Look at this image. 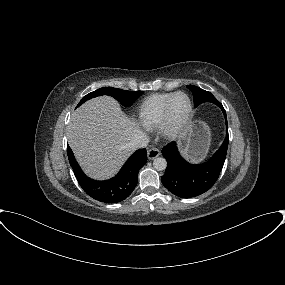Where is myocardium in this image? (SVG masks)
<instances>
[{"label":"myocardium","instance_id":"obj_1","mask_svg":"<svg viewBox=\"0 0 285 285\" xmlns=\"http://www.w3.org/2000/svg\"><path fill=\"white\" fill-rule=\"evenodd\" d=\"M179 95H184L187 97L189 102V109L184 120L181 121L180 123H175L172 120V105L176 97H178ZM193 113H194V106L190 96L182 91L175 92L172 95V97L168 100L165 106L163 119L159 126L162 135L169 139H175L179 137L187 129L193 117Z\"/></svg>","mask_w":285,"mask_h":285}]
</instances>
